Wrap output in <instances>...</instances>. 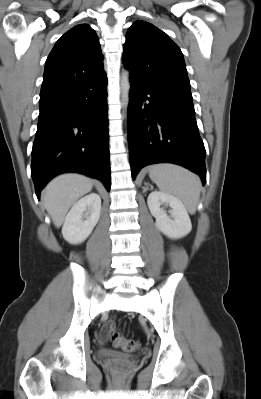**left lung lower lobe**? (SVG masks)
I'll list each match as a JSON object with an SVG mask.
<instances>
[{"label": "left lung lower lobe", "mask_w": 261, "mask_h": 399, "mask_svg": "<svg viewBox=\"0 0 261 399\" xmlns=\"http://www.w3.org/2000/svg\"><path fill=\"white\" fill-rule=\"evenodd\" d=\"M128 144L132 177L155 163H175L206 182L205 148L190 91L149 84L130 75Z\"/></svg>", "instance_id": "0a47b994"}]
</instances>
